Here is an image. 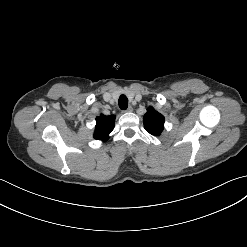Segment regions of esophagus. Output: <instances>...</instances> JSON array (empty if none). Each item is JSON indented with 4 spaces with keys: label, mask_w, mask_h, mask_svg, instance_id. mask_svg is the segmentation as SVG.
Returning a JSON list of instances; mask_svg holds the SVG:
<instances>
[{
    "label": "esophagus",
    "mask_w": 247,
    "mask_h": 247,
    "mask_svg": "<svg viewBox=\"0 0 247 247\" xmlns=\"http://www.w3.org/2000/svg\"><path fill=\"white\" fill-rule=\"evenodd\" d=\"M132 111H133V108L129 106L126 110H123V113L132 112Z\"/></svg>",
    "instance_id": "34e87169"
}]
</instances>
